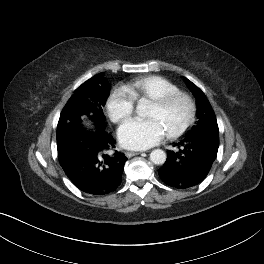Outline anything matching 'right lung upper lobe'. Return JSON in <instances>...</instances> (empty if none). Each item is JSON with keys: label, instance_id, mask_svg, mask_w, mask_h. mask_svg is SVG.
Masks as SVG:
<instances>
[{"label": "right lung upper lobe", "instance_id": "1", "mask_svg": "<svg viewBox=\"0 0 264 264\" xmlns=\"http://www.w3.org/2000/svg\"><path fill=\"white\" fill-rule=\"evenodd\" d=\"M79 127V125H75V128H78Z\"/></svg>", "mask_w": 264, "mask_h": 264}]
</instances>
